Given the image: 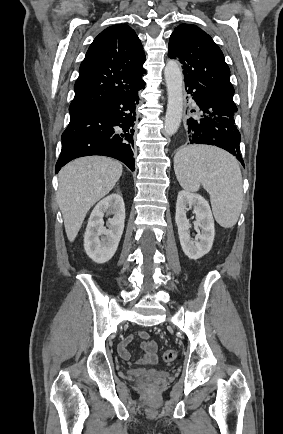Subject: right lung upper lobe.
<instances>
[{"label":"right lung upper lobe","mask_w":283,"mask_h":434,"mask_svg":"<svg viewBox=\"0 0 283 434\" xmlns=\"http://www.w3.org/2000/svg\"><path fill=\"white\" fill-rule=\"evenodd\" d=\"M145 62L140 39L128 25L103 30L90 45L79 68L69 112L97 105L140 86Z\"/></svg>","instance_id":"obj_1"}]
</instances>
